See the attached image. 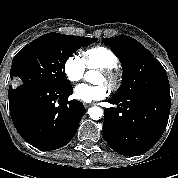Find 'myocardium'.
<instances>
[{"label": "myocardium", "instance_id": "myocardium-1", "mask_svg": "<svg viewBox=\"0 0 178 178\" xmlns=\"http://www.w3.org/2000/svg\"><path fill=\"white\" fill-rule=\"evenodd\" d=\"M98 69L99 72L105 76V84L109 87V89L115 90L119 85V74L115 68L102 67Z\"/></svg>", "mask_w": 178, "mask_h": 178}]
</instances>
